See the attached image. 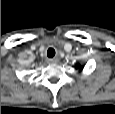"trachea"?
<instances>
[{
	"instance_id": "1",
	"label": "trachea",
	"mask_w": 115,
	"mask_h": 114,
	"mask_svg": "<svg viewBox=\"0 0 115 114\" xmlns=\"http://www.w3.org/2000/svg\"><path fill=\"white\" fill-rule=\"evenodd\" d=\"M47 56L49 58H53L55 56V50L53 48H49L47 51Z\"/></svg>"
}]
</instances>
